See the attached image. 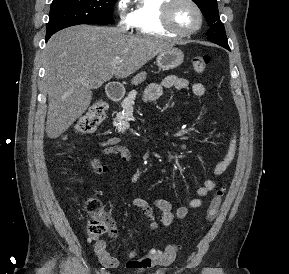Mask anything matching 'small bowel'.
Listing matches in <instances>:
<instances>
[{
    "mask_svg": "<svg viewBox=\"0 0 289 274\" xmlns=\"http://www.w3.org/2000/svg\"><path fill=\"white\" fill-rule=\"evenodd\" d=\"M189 88V81L185 78H181L175 75H170L165 77L161 83L150 84L144 92V99L147 101H153L158 99L164 89H176L184 90ZM192 92L199 97H204L206 95V87L202 83H194L191 86ZM213 125L216 121L212 120ZM118 141L117 138H113L107 142V144H114ZM224 153L222 159L214 166L213 174L218 176L223 174L230 164L232 163L237 148V134L233 133L230 140L225 144ZM104 154L116 155L121 161H128L130 159V151L125 146H107L103 150ZM92 169L97 174H105L108 172L109 167L102 164L98 159H93L91 161ZM216 188V182L212 179H206L201 186H199L195 191V197L188 200L186 205L173 209L171 203L165 199H155L151 203L146 201L141 197H135L133 204L135 207L143 212L150 220V227L155 230L158 227V223L154 216V210H158L161 213L160 223L164 227H168L172 224L174 219H183L187 216L189 209H197L203 205V198L207 196L211 191ZM117 231L111 236L115 237ZM95 254L101 263V265L107 269L117 268L120 265L118 258L112 256L108 249L107 244L103 240L96 241L94 245ZM135 252H131L128 255V260H133L135 257Z\"/></svg>",
    "mask_w": 289,
    "mask_h": 274,
    "instance_id": "1",
    "label": "small bowel"
}]
</instances>
